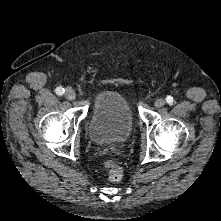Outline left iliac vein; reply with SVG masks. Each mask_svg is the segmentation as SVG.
<instances>
[{"label":"left iliac vein","mask_w":221,"mask_h":221,"mask_svg":"<svg viewBox=\"0 0 221 221\" xmlns=\"http://www.w3.org/2000/svg\"><path fill=\"white\" fill-rule=\"evenodd\" d=\"M165 100L164 99H162V98H160V99H157L156 101H155V106L157 107V108H161V107H163L164 105H165Z\"/></svg>","instance_id":"left-iliac-vein-1"}]
</instances>
